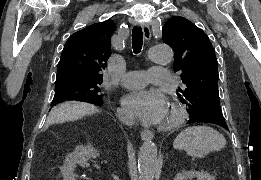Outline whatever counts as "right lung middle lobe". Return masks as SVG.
Masks as SVG:
<instances>
[{
    "label": "right lung middle lobe",
    "mask_w": 261,
    "mask_h": 180,
    "mask_svg": "<svg viewBox=\"0 0 261 180\" xmlns=\"http://www.w3.org/2000/svg\"><path fill=\"white\" fill-rule=\"evenodd\" d=\"M101 81H66L55 84V95L51 106L67 100H76L95 105L103 103L100 95Z\"/></svg>",
    "instance_id": "obj_1"
}]
</instances>
